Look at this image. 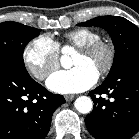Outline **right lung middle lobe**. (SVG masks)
Wrapping results in <instances>:
<instances>
[{"label":"right lung middle lobe","mask_w":139,"mask_h":139,"mask_svg":"<svg viewBox=\"0 0 139 139\" xmlns=\"http://www.w3.org/2000/svg\"><path fill=\"white\" fill-rule=\"evenodd\" d=\"M39 34L40 30L17 22L0 23V62L26 70L23 50L27 43Z\"/></svg>","instance_id":"right-lung-middle-lobe-1"}]
</instances>
